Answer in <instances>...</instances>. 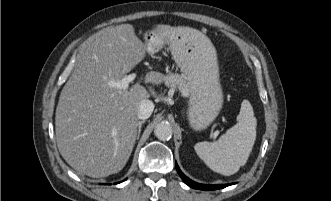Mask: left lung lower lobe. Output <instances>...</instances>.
<instances>
[{
    "label": "left lung lower lobe",
    "mask_w": 331,
    "mask_h": 201,
    "mask_svg": "<svg viewBox=\"0 0 331 201\" xmlns=\"http://www.w3.org/2000/svg\"><path fill=\"white\" fill-rule=\"evenodd\" d=\"M176 169L177 172L179 173L180 177L182 178V180L190 187L194 188V189H200V190H216V189H221V188H225L231 184H224V185H204V184H199L196 183L192 180H190L188 177H186L181 170L179 169L178 165L176 164Z\"/></svg>",
    "instance_id": "0a47b994"
}]
</instances>
